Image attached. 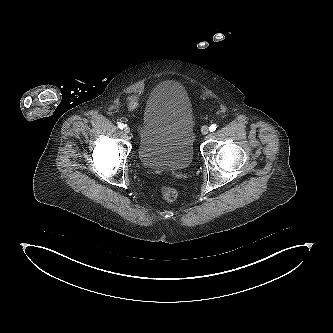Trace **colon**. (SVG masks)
Masks as SVG:
<instances>
[{
	"instance_id": "1",
	"label": "colon",
	"mask_w": 333,
	"mask_h": 333,
	"mask_svg": "<svg viewBox=\"0 0 333 333\" xmlns=\"http://www.w3.org/2000/svg\"><path fill=\"white\" fill-rule=\"evenodd\" d=\"M161 197L168 202L174 201L177 196V190L171 186H162L160 189Z\"/></svg>"
}]
</instances>
